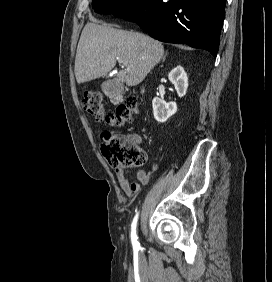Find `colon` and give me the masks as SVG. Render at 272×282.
<instances>
[{
    "mask_svg": "<svg viewBox=\"0 0 272 282\" xmlns=\"http://www.w3.org/2000/svg\"><path fill=\"white\" fill-rule=\"evenodd\" d=\"M82 102L89 114L113 127L129 124L137 112V101L133 97L114 111L108 109L99 93L86 92ZM100 141L102 154L114 169L129 170L143 165L146 161V154L140 145L134 144L129 138L115 131H102Z\"/></svg>",
    "mask_w": 272,
    "mask_h": 282,
    "instance_id": "colon-1",
    "label": "colon"
}]
</instances>
